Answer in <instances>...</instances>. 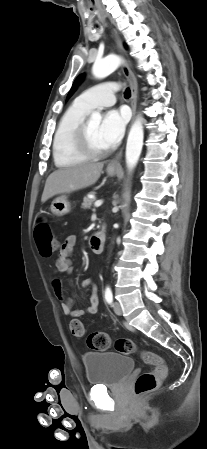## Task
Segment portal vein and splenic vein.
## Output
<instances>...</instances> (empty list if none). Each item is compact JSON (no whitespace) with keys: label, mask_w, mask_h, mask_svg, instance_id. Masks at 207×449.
<instances>
[{"label":"portal vein and splenic vein","mask_w":207,"mask_h":449,"mask_svg":"<svg viewBox=\"0 0 207 449\" xmlns=\"http://www.w3.org/2000/svg\"><path fill=\"white\" fill-rule=\"evenodd\" d=\"M102 203H103V200H97V201H95L94 206L99 207L102 205Z\"/></svg>","instance_id":"18ae733b"}]
</instances>
